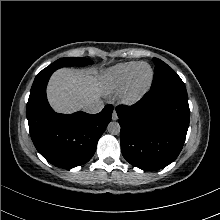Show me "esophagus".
Here are the masks:
<instances>
[{
  "mask_svg": "<svg viewBox=\"0 0 220 220\" xmlns=\"http://www.w3.org/2000/svg\"><path fill=\"white\" fill-rule=\"evenodd\" d=\"M118 119V115H117V113H116V111H115V109H114V111H113V113H112V120H117Z\"/></svg>",
  "mask_w": 220,
  "mask_h": 220,
  "instance_id": "1",
  "label": "esophagus"
}]
</instances>
